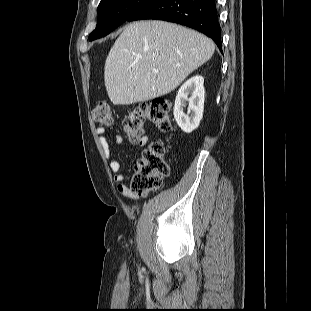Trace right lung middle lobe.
Instances as JSON below:
<instances>
[{
	"label": "right lung middle lobe",
	"instance_id": "1",
	"mask_svg": "<svg viewBox=\"0 0 311 311\" xmlns=\"http://www.w3.org/2000/svg\"><path fill=\"white\" fill-rule=\"evenodd\" d=\"M152 1L153 0H101L97 9L99 14L97 26L90 34L89 40L92 41L106 36Z\"/></svg>",
	"mask_w": 311,
	"mask_h": 311
}]
</instances>
